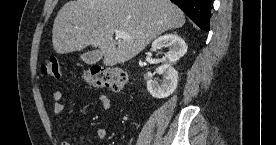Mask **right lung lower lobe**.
<instances>
[{
	"instance_id": "98d812e1",
	"label": "right lung lower lobe",
	"mask_w": 276,
	"mask_h": 145,
	"mask_svg": "<svg viewBox=\"0 0 276 145\" xmlns=\"http://www.w3.org/2000/svg\"><path fill=\"white\" fill-rule=\"evenodd\" d=\"M202 30L209 31L211 0H171Z\"/></svg>"
}]
</instances>
